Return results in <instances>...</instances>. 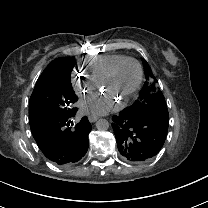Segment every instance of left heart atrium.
<instances>
[{"mask_svg":"<svg viewBox=\"0 0 208 208\" xmlns=\"http://www.w3.org/2000/svg\"><path fill=\"white\" fill-rule=\"evenodd\" d=\"M110 103L111 101H104L102 98L94 99L93 97H90L82 100L80 107L86 114L103 115L110 110Z\"/></svg>","mask_w":208,"mask_h":208,"instance_id":"1","label":"left heart atrium"}]
</instances>
